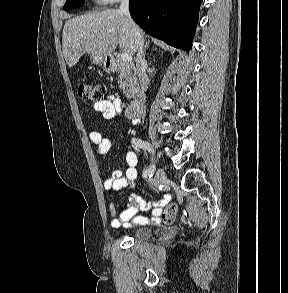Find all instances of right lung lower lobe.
Returning a JSON list of instances; mask_svg holds the SVG:
<instances>
[{
	"label": "right lung lower lobe",
	"mask_w": 288,
	"mask_h": 293,
	"mask_svg": "<svg viewBox=\"0 0 288 293\" xmlns=\"http://www.w3.org/2000/svg\"><path fill=\"white\" fill-rule=\"evenodd\" d=\"M202 0H129L133 20L149 35L189 51Z\"/></svg>",
	"instance_id": "right-lung-lower-lobe-1"
}]
</instances>
